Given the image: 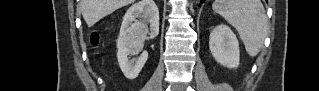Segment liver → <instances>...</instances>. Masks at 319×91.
<instances>
[{
    "label": "liver",
    "mask_w": 319,
    "mask_h": 91,
    "mask_svg": "<svg viewBox=\"0 0 319 91\" xmlns=\"http://www.w3.org/2000/svg\"><path fill=\"white\" fill-rule=\"evenodd\" d=\"M135 0H81L80 8L88 27H92L105 16Z\"/></svg>",
    "instance_id": "liver-1"
}]
</instances>
